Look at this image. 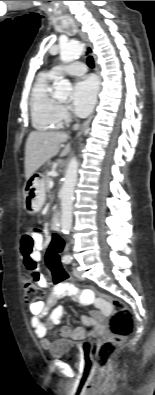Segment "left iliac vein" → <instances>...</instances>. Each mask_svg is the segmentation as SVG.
I'll list each match as a JSON object with an SVG mask.
<instances>
[{"label":"left iliac vein","mask_w":155,"mask_h":395,"mask_svg":"<svg viewBox=\"0 0 155 395\" xmlns=\"http://www.w3.org/2000/svg\"><path fill=\"white\" fill-rule=\"evenodd\" d=\"M73 275H74L76 278L81 279V276H80V274H79V272H78V270H77L76 268L73 269Z\"/></svg>","instance_id":"obj_1"}]
</instances>
